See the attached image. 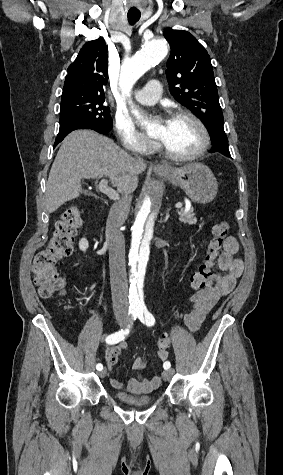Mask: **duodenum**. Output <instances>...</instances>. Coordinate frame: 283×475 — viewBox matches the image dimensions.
Listing matches in <instances>:
<instances>
[{
    "instance_id": "obj_1",
    "label": "duodenum",
    "mask_w": 283,
    "mask_h": 475,
    "mask_svg": "<svg viewBox=\"0 0 283 475\" xmlns=\"http://www.w3.org/2000/svg\"><path fill=\"white\" fill-rule=\"evenodd\" d=\"M98 232H99L100 237H102L103 236V230H102L101 226H99Z\"/></svg>"
}]
</instances>
